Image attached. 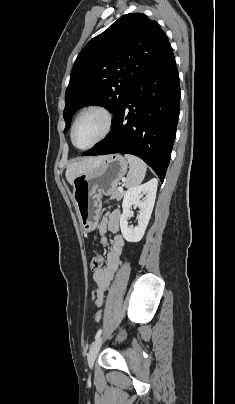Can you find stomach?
<instances>
[{
    "label": "stomach",
    "instance_id": "stomach-1",
    "mask_svg": "<svg viewBox=\"0 0 235 404\" xmlns=\"http://www.w3.org/2000/svg\"><path fill=\"white\" fill-rule=\"evenodd\" d=\"M128 162L120 154L106 156L97 166L73 180V201L85 233L95 230L101 215V198L111 195L126 174Z\"/></svg>",
    "mask_w": 235,
    "mask_h": 404
}]
</instances>
